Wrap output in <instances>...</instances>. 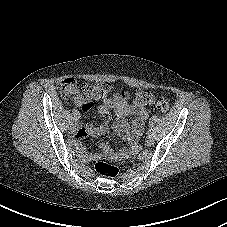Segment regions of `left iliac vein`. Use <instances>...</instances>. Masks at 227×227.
I'll use <instances>...</instances> for the list:
<instances>
[{"instance_id": "left-iliac-vein-1", "label": "left iliac vein", "mask_w": 227, "mask_h": 227, "mask_svg": "<svg viewBox=\"0 0 227 227\" xmlns=\"http://www.w3.org/2000/svg\"><path fill=\"white\" fill-rule=\"evenodd\" d=\"M154 143V138L151 135H148L145 139V144L147 146H150Z\"/></svg>"}]
</instances>
